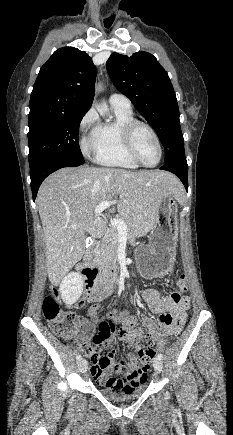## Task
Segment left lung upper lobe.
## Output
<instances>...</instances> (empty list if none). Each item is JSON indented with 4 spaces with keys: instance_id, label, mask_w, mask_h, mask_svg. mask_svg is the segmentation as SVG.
Instances as JSON below:
<instances>
[{
    "instance_id": "5c2ea615",
    "label": "left lung upper lobe",
    "mask_w": 233,
    "mask_h": 435,
    "mask_svg": "<svg viewBox=\"0 0 233 435\" xmlns=\"http://www.w3.org/2000/svg\"><path fill=\"white\" fill-rule=\"evenodd\" d=\"M106 67L113 84L156 131L165 149V163L185 155L176 95L156 57L143 51L131 57L113 53Z\"/></svg>"
}]
</instances>
